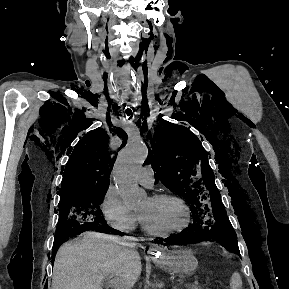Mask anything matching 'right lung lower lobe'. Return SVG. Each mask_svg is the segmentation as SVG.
Segmentation results:
<instances>
[{
  "label": "right lung lower lobe",
  "mask_w": 289,
  "mask_h": 289,
  "mask_svg": "<svg viewBox=\"0 0 289 289\" xmlns=\"http://www.w3.org/2000/svg\"><path fill=\"white\" fill-rule=\"evenodd\" d=\"M88 230H96V231H99V232H102V233H106V234H120V231H117L111 227H109L106 223L105 224H102L100 226H92V227H88V228H85V229H81V230H76L75 232H71L69 233L68 235H65V236H55V240H54V245H53V262H54V259H55V255H56V252L60 246V244L67 238V237H70V236H75L77 234H80L84 231H88Z\"/></svg>",
  "instance_id": "obj_1"
}]
</instances>
